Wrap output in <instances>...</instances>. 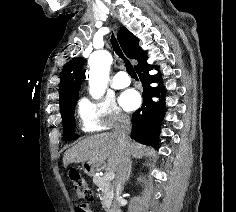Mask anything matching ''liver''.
<instances>
[{
	"instance_id": "6515ba94",
	"label": "liver",
	"mask_w": 236,
	"mask_h": 212,
	"mask_svg": "<svg viewBox=\"0 0 236 212\" xmlns=\"http://www.w3.org/2000/svg\"><path fill=\"white\" fill-rule=\"evenodd\" d=\"M128 150L135 158H140L144 154L155 155L154 150L150 151L130 138H128ZM106 159L107 169L117 171L121 159V145L113 133L97 134L79 141L64 153L63 165L66 168L71 163L88 162L99 168Z\"/></svg>"
}]
</instances>
